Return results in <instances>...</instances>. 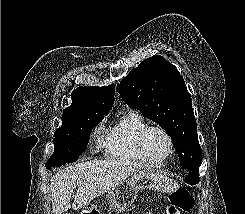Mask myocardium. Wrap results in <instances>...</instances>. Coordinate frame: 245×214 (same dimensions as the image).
<instances>
[{
  "instance_id": "f54148a6",
  "label": "myocardium",
  "mask_w": 245,
  "mask_h": 214,
  "mask_svg": "<svg viewBox=\"0 0 245 214\" xmlns=\"http://www.w3.org/2000/svg\"><path fill=\"white\" fill-rule=\"evenodd\" d=\"M151 131L160 132L161 134L164 135V137L166 138L168 142V147H169L168 153L162 159L152 160L146 154L145 139H146L147 134ZM136 147H137L138 153L141 156V158L145 161L146 164L150 166L162 165L163 163L168 161L174 153V142L169 132L160 126H155V125H147L143 129H141V131L138 133L137 138H136Z\"/></svg>"
}]
</instances>
